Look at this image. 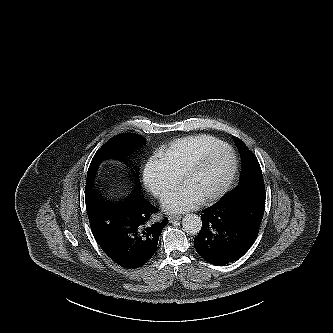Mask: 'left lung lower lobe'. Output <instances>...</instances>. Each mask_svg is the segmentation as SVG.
Returning a JSON list of instances; mask_svg holds the SVG:
<instances>
[{
  "instance_id": "left-lung-lower-lobe-1",
  "label": "left lung lower lobe",
  "mask_w": 333,
  "mask_h": 333,
  "mask_svg": "<svg viewBox=\"0 0 333 333\" xmlns=\"http://www.w3.org/2000/svg\"><path fill=\"white\" fill-rule=\"evenodd\" d=\"M265 199L263 181L235 188L204 209L202 228L194 238L197 253L216 266L241 258L257 238Z\"/></svg>"
}]
</instances>
